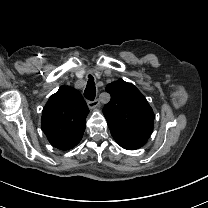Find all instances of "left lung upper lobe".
Listing matches in <instances>:
<instances>
[{
    "label": "left lung upper lobe",
    "mask_w": 208,
    "mask_h": 208,
    "mask_svg": "<svg viewBox=\"0 0 208 208\" xmlns=\"http://www.w3.org/2000/svg\"><path fill=\"white\" fill-rule=\"evenodd\" d=\"M111 100L103 108L108 125L151 135L154 113L146 98L131 83L119 79L106 86Z\"/></svg>",
    "instance_id": "5c2ea615"
}]
</instances>
